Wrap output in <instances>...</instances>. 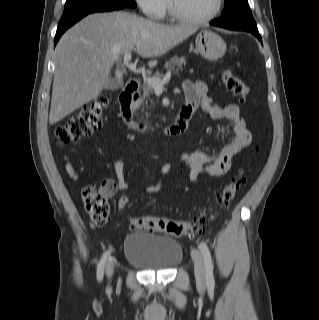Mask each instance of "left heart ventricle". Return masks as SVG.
I'll use <instances>...</instances> for the list:
<instances>
[{
	"label": "left heart ventricle",
	"instance_id": "left-heart-ventricle-1",
	"mask_svg": "<svg viewBox=\"0 0 319 320\" xmlns=\"http://www.w3.org/2000/svg\"><path fill=\"white\" fill-rule=\"evenodd\" d=\"M174 3L181 14L200 18L214 11L217 0H174Z\"/></svg>",
	"mask_w": 319,
	"mask_h": 320
}]
</instances>
